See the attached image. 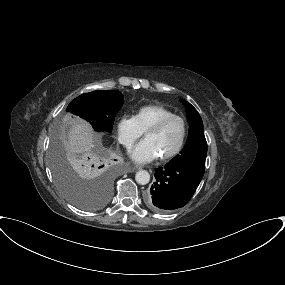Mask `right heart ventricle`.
I'll return each instance as SVG.
<instances>
[{"label":"right heart ventricle","instance_id":"right-heart-ventricle-1","mask_svg":"<svg viewBox=\"0 0 285 285\" xmlns=\"http://www.w3.org/2000/svg\"><path fill=\"white\" fill-rule=\"evenodd\" d=\"M173 115V112L159 104H149L139 107L134 113V119L140 131H145L163 117Z\"/></svg>","mask_w":285,"mask_h":285}]
</instances>
